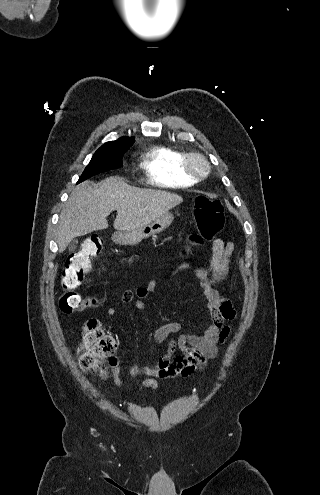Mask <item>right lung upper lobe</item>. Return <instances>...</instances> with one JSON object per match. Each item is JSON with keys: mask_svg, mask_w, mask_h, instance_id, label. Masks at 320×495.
Masks as SVG:
<instances>
[{"mask_svg": "<svg viewBox=\"0 0 320 495\" xmlns=\"http://www.w3.org/2000/svg\"><path fill=\"white\" fill-rule=\"evenodd\" d=\"M133 143V137H121L118 140L106 142L100 148H129Z\"/></svg>", "mask_w": 320, "mask_h": 495, "instance_id": "right-lung-upper-lobe-1", "label": "right lung upper lobe"}]
</instances>
